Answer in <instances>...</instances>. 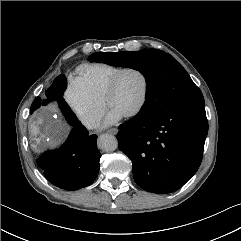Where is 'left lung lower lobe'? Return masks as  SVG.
I'll list each match as a JSON object with an SVG mask.
<instances>
[{"label": "left lung lower lobe", "instance_id": "0a47b994", "mask_svg": "<svg viewBox=\"0 0 241 241\" xmlns=\"http://www.w3.org/2000/svg\"><path fill=\"white\" fill-rule=\"evenodd\" d=\"M119 126L118 146L132 161L135 182L157 194L181 188L198 170L208 133L205 105L166 108L157 94Z\"/></svg>", "mask_w": 241, "mask_h": 241}]
</instances>
